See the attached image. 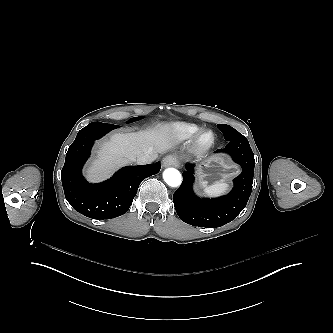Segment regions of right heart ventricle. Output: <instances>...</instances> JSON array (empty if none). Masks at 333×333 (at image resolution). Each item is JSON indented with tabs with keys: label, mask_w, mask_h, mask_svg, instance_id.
<instances>
[{
	"label": "right heart ventricle",
	"mask_w": 333,
	"mask_h": 333,
	"mask_svg": "<svg viewBox=\"0 0 333 333\" xmlns=\"http://www.w3.org/2000/svg\"><path fill=\"white\" fill-rule=\"evenodd\" d=\"M200 127L194 123H176L170 131L178 141L190 140L198 131Z\"/></svg>",
	"instance_id": "1"
}]
</instances>
